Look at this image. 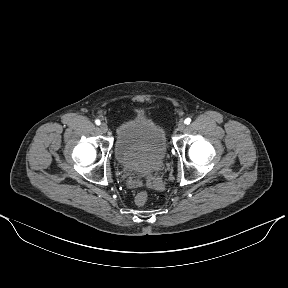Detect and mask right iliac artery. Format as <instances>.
I'll list each match as a JSON object with an SVG mask.
<instances>
[{
    "instance_id": "obj_1",
    "label": "right iliac artery",
    "mask_w": 288,
    "mask_h": 288,
    "mask_svg": "<svg viewBox=\"0 0 288 288\" xmlns=\"http://www.w3.org/2000/svg\"><path fill=\"white\" fill-rule=\"evenodd\" d=\"M100 123H101L100 120H98V119L95 120V124H96V125H100Z\"/></svg>"
}]
</instances>
